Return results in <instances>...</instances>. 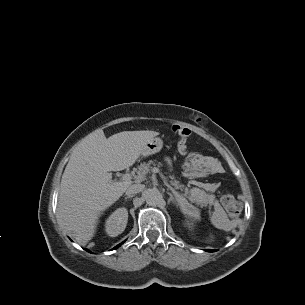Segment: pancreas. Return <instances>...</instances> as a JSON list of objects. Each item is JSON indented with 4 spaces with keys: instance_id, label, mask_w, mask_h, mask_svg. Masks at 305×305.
Masks as SVG:
<instances>
[{
    "instance_id": "cf45deb5",
    "label": "pancreas",
    "mask_w": 305,
    "mask_h": 305,
    "mask_svg": "<svg viewBox=\"0 0 305 305\" xmlns=\"http://www.w3.org/2000/svg\"><path fill=\"white\" fill-rule=\"evenodd\" d=\"M155 166L156 163L152 160H149L147 163L144 162L140 164L137 172L146 175L148 172L152 171V169L155 168ZM170 178H171L170 184L174 186L176 189H181L183 187L182 185H180L179 181L175 179L174 175L170 176ZM186 194L188 195V199L192 203H195L196 205L201 207L207 206L210 200V195H208L204 190H201L196 187L190 189L189 191H186Z\"/></svg>"
}]
</instances>
